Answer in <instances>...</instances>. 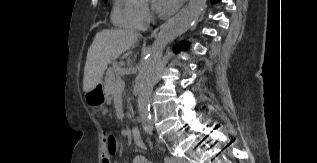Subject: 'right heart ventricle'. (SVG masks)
<instances>
[{"mask_svg": "<svg viewBox=\"0 0 317 163\" xmlns=\"http://www.w3.org/2000/svg\"><path fill=\"white\" fill-rule=\"evenodd\" d=\"M141 0H114L112 22L114 25L128 29H142L145 24L139 17Z\"/></svg>", "mask_w": 317, "mask_h": 163, "instance_id": "1", "label": "right heart ventricle"}]
</instances>
